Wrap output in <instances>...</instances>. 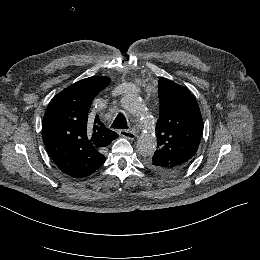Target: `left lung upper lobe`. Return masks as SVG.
Masks as SVG:
<instances>
[{"label":"left lung upper lobe","instance_id":"obj_1","mask_svg":"<svg viewBox=\"0 0 260 260\" xmlns=\"http://www.w3.org/2000/svg\"><path fill=\"white\" fill-rule=\"evenodd\" d=\"M158 149L150 169L167 175L186 169L194 160L203 133L199 106L190 91L166 78L159 80Z\"/></svg>","mask_w":260,"mask_h":260}]
</instances>
